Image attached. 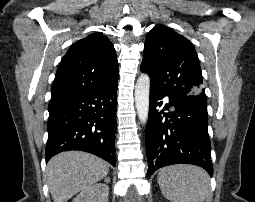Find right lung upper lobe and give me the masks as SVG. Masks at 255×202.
<instances>
[{
  "instance_id": "obj_1",
  "label": "right lung upper lobe",
  "mask_w": 255,
  "mask_h": 202,
  "mask_svg": "<svg viewBox=\"0 0 255 202\" xmlns=\"http://www.w3.org/2000/svg\"><path fill=\"white\" fill-rule=\"evenodd\" d=\"M118 81V61L110 40L91 34L74 43L62 58L51 99L108 87Z\"/></svg>"
}]
</instances>
